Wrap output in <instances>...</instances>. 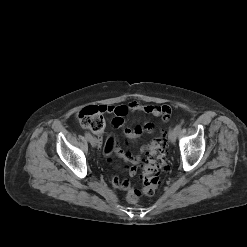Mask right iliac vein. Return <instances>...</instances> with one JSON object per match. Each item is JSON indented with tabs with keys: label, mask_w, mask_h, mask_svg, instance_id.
<instances>
[{
	"label": "right iliac vein",
	"mask_w": 247,
	"mask_h": 247,
	"mask_svg": "<svg viewBox=\"0 0 247 247\" xmlns=\"http://www.w3.org/2000/svg\"><path fill=\"white\" fill-rule=\"evenodd\" d=\"M89 142L90 144L93 146V147H96L97 144H98V141L95 137L91 136L90 139H89Z\"/></svg>",
	"instance_id": "obj_1"
}]
</instances>
